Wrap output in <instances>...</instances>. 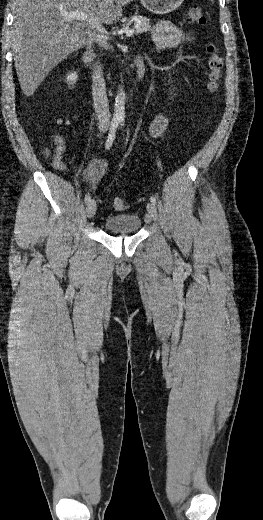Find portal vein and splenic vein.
Instances as JSON below:
<instances>
[{
  "instance_id": "obj_1",
  "label": "portal vein and splenic vein",
  "mask_w": 263,
  "mask_h": 520,
  "mask_svg": "<svg viewBox=\"0 0 263 520\" xmlns=\"http://www.w3.org/2000/svg\"><path fill=\"white\" fill-rule=\"evenodd\" d=\"M64 18L65 19H68V20H83V21H88V17L86 14L84 13H80V12H70V13H64L63 14ZM90 24H92V26L96 29L99 30V32L102 34V36L106 37L108 32L102 28L101 25H99L98 23H96L93 19L90 20ZM126 36L127 37H130L134 34V29H130V30H127L126 32Z\"/></svg>"
}]
</instances>
